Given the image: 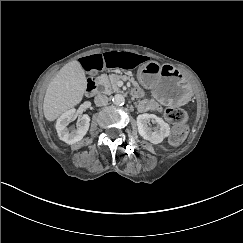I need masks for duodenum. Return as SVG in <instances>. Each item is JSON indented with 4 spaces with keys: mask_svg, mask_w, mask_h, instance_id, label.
<instances>
[{
    "mask_svg": "<svg viewBox=\"0 0 243 243\" xmlns=\"http://www.w3.org/2000/svg\"><path fill=\"white\" fill-rule=\"evenodd\" d=\"M97 88V81L94 78L88 79L87 86H86V94L92 95L96 91Z\"/></svg>",
    "mask_w": 243,
    "mask_h": 243,
    "instance_id": "410a0bca",
    "label": "duodenum"
}]
</instances>
